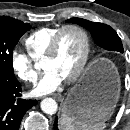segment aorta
<instances>
[{
    "mask_svg": "<svg viewBox=\"0 0 130 130\" xmlns=\"http://www.w3.org/2000/svg\"><path fill=\"white\" fill-rule=\"evenodd\" d=\"M40 106L44 113L50 114V115L55 114L58 108L56 101L52 98L43 99L41 101Z\"/></svg>",
    "mask_w": 130,
    "mask_h": 130,
    "instance_id": "obj_1",
    "label": "aorta"
}]
</instances>
